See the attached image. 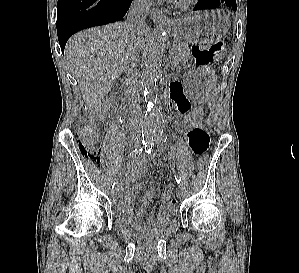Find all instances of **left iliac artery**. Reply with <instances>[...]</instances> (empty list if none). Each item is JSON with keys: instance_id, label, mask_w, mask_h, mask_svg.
I'll return each instance as SVG.
<instances>
[{"instance_id": "obj_1", "label": "left iliac artery", "mask_w": 299, "mask_h": 273, "mask_svg": "<svg viewBox=\"0 0 299 273\" xmlns=\"http://www.w3.org/2000/svg\"><path fill=\"white\" fill-rule=\"evenodd\" d=\"M158 142H159L158 139H156L155 141H152V142H147L146 147H145V151L148 154H150L151 151H152V147H153L154 143H158ZM175 180H176L177 184L181 183V177L179 175H175Z\"/></svg>"}]
</instances>
